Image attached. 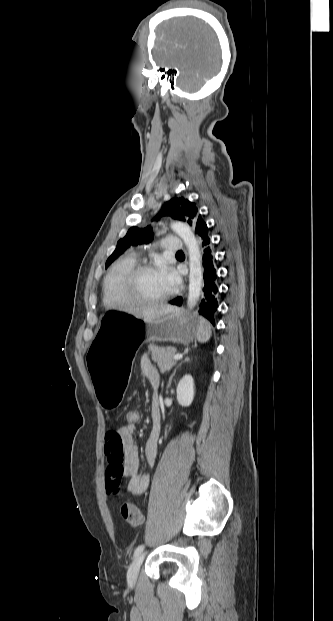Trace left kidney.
I'll list each match as a JSON object with an SVG mask.
<instances>
[{
    "label": "left kidney",
    "mask_w": 333,
    "mask_h": 621,
    "mask_svg": "<svg viewBox=\"0 0 333 621\" xmlns=\"http://www.w3.org/2000/svg\"><path fill=\"white\" fill-rule=\"evenodd\" d=\"M195 394L194 380L191 375H185L177 386V400L181 406H190Z\"/></svg>",
    "instance_id": "5707ae66"
}]
</instances>
